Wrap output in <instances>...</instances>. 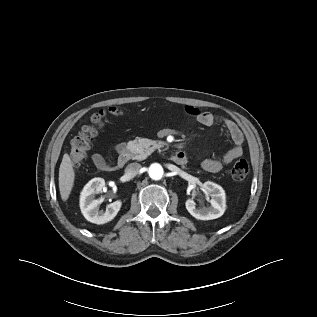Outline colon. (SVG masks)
<instances>
[{
  "mask_svg": "<svg viewBox=\"0 0 317 317\" xmlns=\"http://www.w3.org/2000/svg\"><path fill=\"white\" fill-rule=\"evenodd\" d=\"M108 114L118 116L121 111L112 107L109 111H100L92 115L90 124L82 128L77 136H75L70 144V159L73 165L79 166L85 159L87 150L91 140L97 135L99 129L103 127L107 121ZM249 173V165L246 160L237 161L231 169V177L234 181L240 182L244 180Z\"/></svg>",
  "mask_w": 317,
  "mask_h": 317,
  "instance_id": "colon-1",
  "label": "colon"
}]
</instances>
